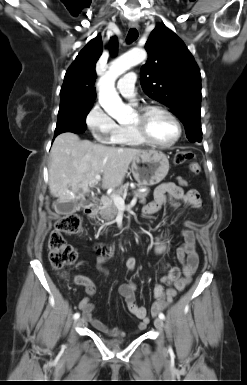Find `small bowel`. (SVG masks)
Instances as JSON below:
<instances>
[{
    "label": "small bowel",
    "mask_w": 247,
    "mask_h": 385,
    "mask_svg": "<svg viewBox=\"0 0 247 385\" xmlns=\"http://www.w3.org/2000/svg\"><path fill=\"white\" fill-rule=\"evenodd\" d=\"M186 181L178 178L176 183L167 182L157 187L155 190V199L144 208L146 215H152L159 211L163 206L171 205L174 208H179L182 205L200 208L202 199L196 189L184 191L182 186ZM195 223L193 221L185 222L183 230L184 243L176 249V257L181 263L182 268L171 267L167 273L160 278L159 283L154 287L153 297L155 299L151 312L153 315L162 311L177 292L183 291L190 283L199 264V255L196 247V237L194 233ZM154 250L157 254H164L168 250V245L163 241V236H159L154 243ZM110 258V253L104 251L99 253L97 257V269L103 275L107 276L108 271L103 266ZM126 268L133 271L137 267L136 259L130 257L126 260ZM76 282H80L86 289L88 297L81 300L79 307L83 313V318L89 322L96 330L103 332L111 337H123L125 332L118 327H108L94 314V304L90 297L95 293V286L92 281L86 276H77ZM119 295L124 299L127 311L139 320L137 324V332L143 331L148 323V311L145 306H138L135 302V287L132 283H124L118 289Z\"/></svg>",
    "instance_id": "1"
}]
</instances>
